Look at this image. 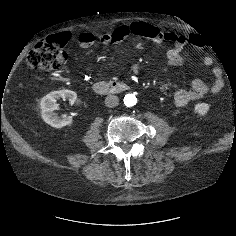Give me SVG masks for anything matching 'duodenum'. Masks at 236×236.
I'll return each instance as SVG.
<instances>
[{"label": "duodenum", "mask_w": 236, "mask_h": 236, "mask_svg": "<svg viewBox=\"0 0 236 236\" xmlns=\"http://www.w3.org/2000/svg\"><path fill=\"white\" fill-rule=\"evenodd\" d=\"M128 89L129 85L120 81H97L93 84V91L100 95L121 93Z\"/></svg>", "instance_id": "obj_1"}]
</instances>
